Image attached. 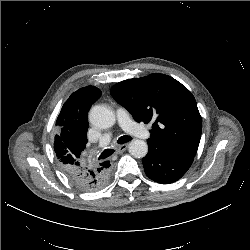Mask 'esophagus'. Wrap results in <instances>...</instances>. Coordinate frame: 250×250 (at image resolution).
Returning <instances> with one entry per match:
<instances>
[{"mask_svg":"<svg viewBox=\"0 0 250 250\" xmlns=\"http://www.w3.org/2000/svg\"><path fill=\"white\" fill-rule=\"evenodd\" d=\"M127 148H128V144L120 145V146H118V148H117V153H122V152H124Z\"/></svg>","mask_w":250,"mask_h":250,"instance_id":"esophagus-1","label":"esophagus"}]
</instances>
